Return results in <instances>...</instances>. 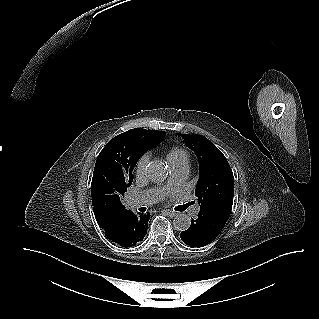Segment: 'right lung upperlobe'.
Here are the masks:
<instances>
[{
  "mask_svg": "<svg viewBox=\"0 0 319 319\" xmlns=\"http://www.w3.org/2000/svg\"><path fill=\"white\" fill-rule=\"evenodd\" d=\"M164 132H160L157 130H146L141 128L128 130L116 137L114 140L121 141L132 149L137 151L141 156L154 145H156L159 141L164 138ZM125 207L122 205L121 207H116L112 209L102 210L94 212L95 218L98 224L103 226L106 221H108L112 216L117 214L118 212L124 210Z\"/></svg>",
  "mask_w": 319,
  "mask_h": 319,
  "instance_id": "cb5924a9",
  "label": "right lung upper lobe"
}]
</instances>
